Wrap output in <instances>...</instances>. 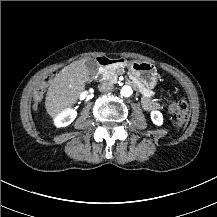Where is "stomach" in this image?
<instances>
[{"label":"stomach","instance_id":"0dacf381","mask_svg":"<svg viewBox=\"0 0 217 217\" xmlns=\"http://www.w3.org/2000/svg\"><path fill=\"white\" fill-rule=\"evenodd\" d=\"M132 74L148 88L153 89L157 84L158 74L156 66L146 61H132L128 63Z\"/></svg>","mask_w":217,"mask_h":217}]
</instances>
